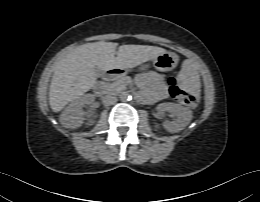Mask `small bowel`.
<instances>
[{"label":"small bowel","instance_id":"small-bowel-1","mask_svg":"<svg viewBox=\"0 0 260 202\" xmlns=\"http://www.w3.org/2000/svg\"><path fill=\"white\" fill-rule=\"evenodd\" d=\"M136 81L145 92V98L150 102H157L167 97V87L162 75L149 72L139 75Z\"/></svg>","mask_w":260,"mask_h":202}]
</instances>
